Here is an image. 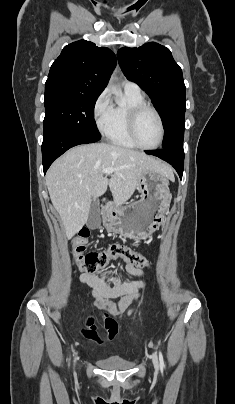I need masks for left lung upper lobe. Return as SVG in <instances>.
<instances>
[{"label":"left lung upper lobe","mask_w":235,"mask_h":404,"mask_svg":"<svg viewBox=\"0 0 235 404\" xmlns=\"http://www.w3.org/2000/svg\"><path fill=\"white\" fill-rule=\"evenodd\" d=\"M128 80L137 83L151 98L165 128L163 148L183 145L186 88L181 68L168 48L149 42L117 52Z\"/></svg>","instance_id":"obj_1"}]
</instances>
